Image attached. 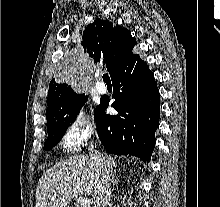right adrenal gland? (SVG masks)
<instances>
[{"label": "right adrenal gland", "instance_id": "obj_1", "mask_svg": "<svg viewBox=\"0 0 220 207\" xmlns=\"http://www.w3.org/2000/svg\"><path fill=\"white\" fill-rule=\"evenodd\" d=\"M116 171H117V170H114V174H113V176H112V183H113L114 186H115V185L117 184V182H118V176H116Z\"/></svg>", "mask_w": 220, "mask_h": 207}]
</instances>
